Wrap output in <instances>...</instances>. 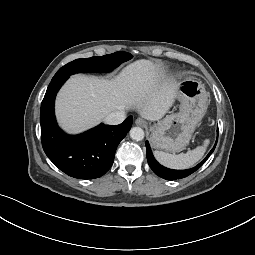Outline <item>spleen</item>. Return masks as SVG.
Instances as JSON below:
<instances>
[{"mask_svg":"<svg viewBox=\"0 0 255 255\" xmlns=\"http://www.w3.org/2000/svg\"><path fill=\"white\" fill-rule=\"evenodd\" d=\"M210 140L205 139L203 145L189 150L187 153L169 154L163 151H154V156L159 163L171 169H187L196 164L204 155Z\"/></svg>","mask_w":255,"mask_h":255,"instance_id":"spleen-1","label":"spleen"}]
</instances>
